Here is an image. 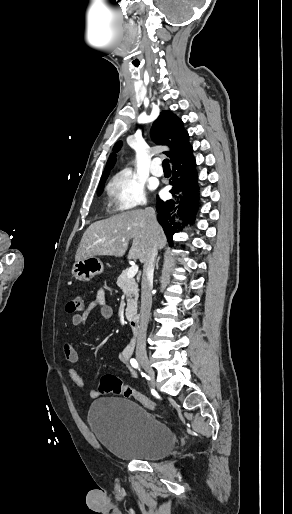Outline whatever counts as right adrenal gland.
Listing matches in <instances>:
<instances>
[{"label": "right adrenal gland", "instance_id": "right-adrenal-gland-1", "mask_svg": "<svg viewBox=\"0 0 292 514\" xmlns=\"http://www.w3.org/2000/svg\"><path fill=\"white\" fill-rule=\"evenodd\" d=\"M160 258H157L156 260V270H158L159 266H158V262H159Z\"/></svg>", "mask_w": 292, "mask_h": 514}]
</instances>
